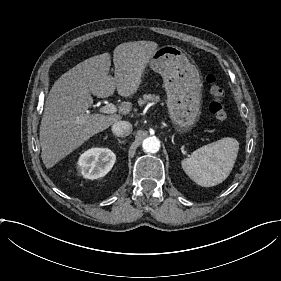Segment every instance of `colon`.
Returning a JSON list of instances; mask_svg holds the SVG:
<instances>
[{
  "instance_id": "obj_1",
  "label": "colon",
  "mask_w": 281,
  "mask_h": 281,
  "mask_svg": "<svg viewBox=\"0 0 281 281\" xmlns=\"http://www.w3.org/2000/svg\"><path fill=\"white\" fill-rule=\"evenodd\" d=\"M205 86L210 96V111L215 123L224 125L228 122L229 115L224 100V88L215 74L209 73L204 79Z\"/></svg>"
}]
</instances>
